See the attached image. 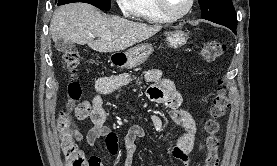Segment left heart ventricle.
Returning a JSON list of instances; mask_svg holds the SVG:
<instances>
[{"instance_id": "left-heart-ventricle-1", "label": "left heart ventricle", "mask_w": 277, "mask_h": 166, "mask_svg": "<svg viewBox=\"0 0 277 166\" xmlns=\"http://www.w3.org/2000/svg\"><path fill=\"white\" fill-rule=\"evenodd\" d=\"M165 1L169 11L174 14L182 12L188 4V0H165Z\"/></svg>"}]
</instances>
